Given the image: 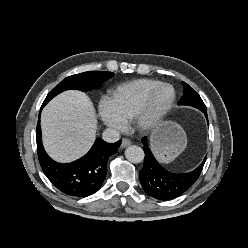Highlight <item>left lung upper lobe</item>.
Wrapping results in <instances>:
<instances>
[{
    "label": "left lung upper lobe",
    "instance_id": "1",
    "mask_svg": "<svg viewBox=\"0 0 248 248\" xmlns=\"http://www.w3.org/2000/svg\"><path fill=\"white\" fill-rule=\"evenodd\" d=\"M183 88H184V94L182 98L179 101V105H189L193 106L195 108H198L199 110L201 109H206V106L204 102L202 101L201 97L199 94L194 91L188 84L185 82H182Z\"/></svg>",
    "mask_w": 248,
    "mask_h": 248
}]
</instances>
